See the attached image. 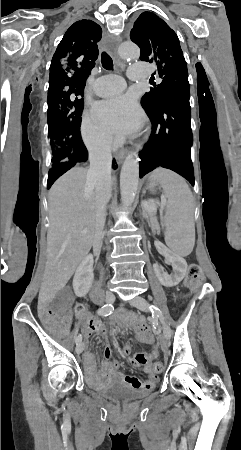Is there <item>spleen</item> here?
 Wrapping results in <instances>:
<instances>
[{
	"mask_svg": "<svg viewBox=\"0 0 241 450\" xmlns=\"http://www.w3.org/2000/svg\"><path fill=\"white\" fill-rule=\"evenodd\" d=\"M151 184H161L167 198L168 208L164 216V224H169L165 232V242L177 256H189L195 244V228L193 224V196L184 178L158 168L149 176Z\"/></svg>",
	"mask_w": 241,
	"mask_h": 450,
	"instance_id": "1",
	"label": "spleen"
}]
</instances>
